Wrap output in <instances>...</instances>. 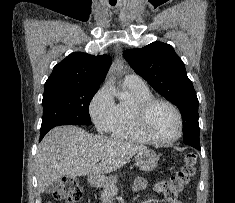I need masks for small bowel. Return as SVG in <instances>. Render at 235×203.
Listing matches in <instances>:
<instances>
[{
  "instance_id": "obj_1",
  "label": "small bowel",
  "mask_w": 235,
  "mask_h": 203,
  "mask_svg": "<svg viewBox=\"0 0 235 203\" xmlns=\"http://www.w3.org/2000/svg\"><path fill=\"white\" fill-rule=\"evenodd\" d=\"M147 186V181L144 178H138L136 179L135 183H134V189L136 191H141L143 189H145ZM172 203H181L178 200H173Z\"/></svg>"
}]
</instances>
